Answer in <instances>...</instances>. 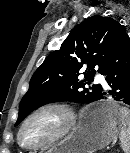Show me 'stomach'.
Wrapping results in <instances>:
<instances>
[{"instance_id":"0dacf381","label":"stomach","mask_w":130,"mask_h":153,"mask_svg":"<svg viewBox=\"0 0 130 153\" xmlns=\"http://www.w3.org/2000/svg\"><path fill=\"white\" fill-rule=\"evenodd\" d=\"M119 109L112 100L87 109L68 137L42 153H93L106 147L122 126Z\"/></svg>"}]
</instances>
